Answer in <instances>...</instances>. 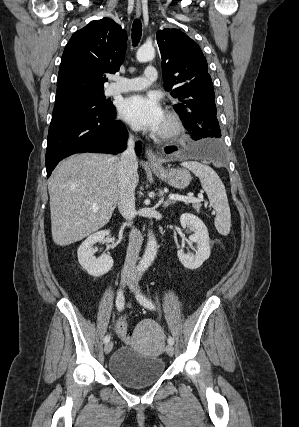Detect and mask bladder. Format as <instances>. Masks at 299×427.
Segmentation results:
<instances>
[{
    "instance_id": "1",
    "label": "bladder",
    "mask_w": 299,
    "mask_h": 427,
    "mask_svg": "<svg viewBox=\"0 0 299 427\" xmlns=\"http://www.w3.org/2000/svg\"><path fill=\"white\" fill-rule=\"evenodd\" d=\"M164 372L165 363L160 356L140 354L126 345L118 348L109 361V374L130 388L152 385Z\"/></svg>"
}]
</instances>
